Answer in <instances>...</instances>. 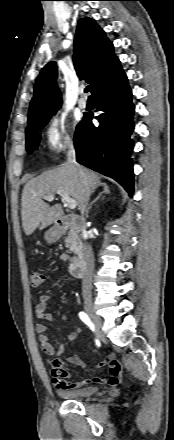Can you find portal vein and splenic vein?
Wrapping results in <instances>:
<instances>
[{
  "label": "portal vein and splenic vein",
  "mask_w": 174,
  "mask_h": 440,
  "mask_svg": "<svg viewBox=\"0 0 174 440\" xmlns=\"http://www.w3.org/2000/svg\"><path fill=\"white\" fill-rule=\"evenodd\" d=\"M59 195L63 198V200L67 203L68 207L70 209H75L77 206V203L74 199L70 198V196L68 195V193H66L65 191L62 190H58L56 193L54 194H50V195H46L43 196V198L47 201H52L55 197V195Z\"/></svg>",
  "instance_id": "obj_1"
}]
</instances>
